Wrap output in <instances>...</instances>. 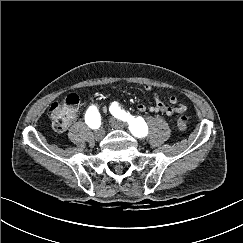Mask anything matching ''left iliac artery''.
<instances>
[{
	"instance_id": "obj_1",
	"label": "left iliac artery",
	"mask_w": 243,
	"mask_h": 243,
	"mask_svg": "<svg viewBox=\"0 0 243 243\" xmlns=\"http://www.w3.org/2000/svg\"><path fill=\"white\" fill-rule=\"evenodd\" d=\"M110 112L114 117L121 119L129 124V129L136 137H142L147 135L148 128L143 118H135L130 113L121 109L118 103L113 102L110 106Z\"/></svg>"
}]
</instances>
